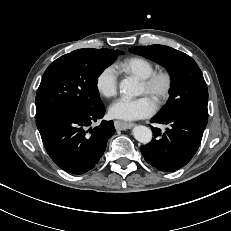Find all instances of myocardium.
Masks as SVG:
<instances>
[{
	"label": "myocardium",
	"instance_id": "obj_1",
	"mask_svg": "<svg viewBox=\"0 0 231 231\" xmlns=\"http://www.w3.org/2000/svg\"><path fill=\"white\" fill-rule=\"evenodd\" d=\"M174 84V77L170 70L159 69L142 79L145 93L151 96L155 105L160 107L170 97Z\"/></svg>",
	"mask_w": 231,
	"mask_h": 231
}]
</instances>
